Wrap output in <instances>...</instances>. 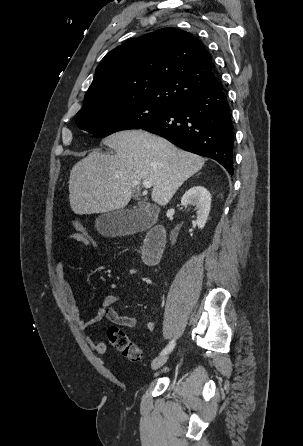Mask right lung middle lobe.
I'll return each instance as SVG.
<instances>
[{
    "label": "right lung middle lobe",
    "instance_id": "dd1d6c3e",
    "mask_svg": "<svg viewBox=\"0 0 303 446\" xmlns=\"http://www.w3.org/2000/svg\"><path fill=\"white\" fill-rule=\"evenodd\" d=\"M171 107L144 101L108 104L78 112L75 121L80 129L102 138L120 130L141 129Z\"/></svg>",
    "mask_w": 303,
    "mask_h": 446
}]
</instances>
